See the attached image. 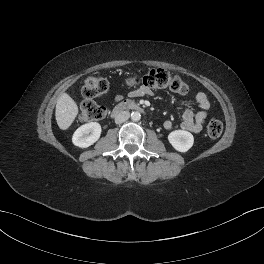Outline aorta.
Listing matches in <instances>:
<instances>
[{
    "instance_id": "obj_1",
    "label": "aorta",
    "mask_w": 264,
    "mask_h": 264,
    "mask_svg": "<svg viewBox=\"0 0 264 264\" xmlns=\"http://www.w3.org/2000/svg\"><path fill=\"white\" fill-rule=\"evenodd\" d=\"M131 119L137 122L141 119V114L138 111H134L131 113Z\"/></svg>"
}]
</instances>
